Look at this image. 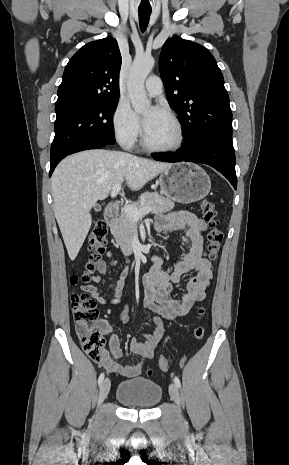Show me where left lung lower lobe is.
<instances>
[{
	"label": "left lung lower lobe",
	"instance_id": "left-lung-lower-lobe-1",
	"mask_svg": "<svg viewBox=\"0 0 289 465\" xmlns=\"http://www.w3.org/2000/svg\"><path fill=\"white\" fill-rule=\"evenodd\" d=\"M151 156L164 162L204 163L221 172L237 188L233 145L215 139H200L176 152L153 153Z\"/></svg>",
	"mask_w": 289,
	"mask_h": 465
}]
</instances>
